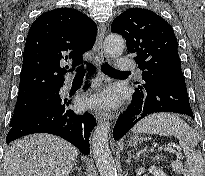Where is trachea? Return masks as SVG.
I'll return each instance as SVG.
<instances>
[{
	"label": "trachea",
	"instance_id": "1",
	"mask_svg": "<svg viewBox=\"0 0 205 176\" xmlns=\"http://www.w3.org/2000/svg\"><path fill=\"white\" fill-rule=\"evenodd\" d=\"M102 71L106 74V75H113L116 73H125L119 70H116L115 68H113L112 66H110L109 64L105 63L102 65ZM85 75V69L83 66H81L80 68H78L76 70V77H83Z\"/></svg>",
	"mask_w": 205,
	"mask_h": 176
}]
</instances>
